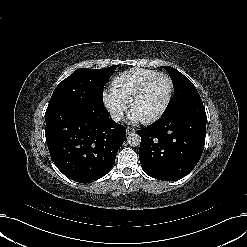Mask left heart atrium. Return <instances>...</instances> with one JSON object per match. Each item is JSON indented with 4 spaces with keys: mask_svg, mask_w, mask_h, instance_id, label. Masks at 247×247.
Listing matches in <instances>:
<instances>
[{
    "mask_svg": "<svg viewBox=\"0 0 247 247\" xmlns=\"http://www.w3.org/2000/svg\"><path fill=\"white\" fill-rule=\"evenodd\" d=\"M131 122L137 123L141 121V117L138 116L137 114L133 113L130 117Z\"/></svg>",
    "mask_w": 247,
    "mask_h": 247,
    "instance_id": "left-heart-atrium-1",
    "label": "left heart atrium"
}]
</instances>
